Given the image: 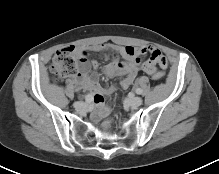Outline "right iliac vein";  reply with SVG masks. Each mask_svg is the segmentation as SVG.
<instances>
[{
    "instance_id": "63e3f726",
    "label": "right iliac vein",
    "mask_w": 219,
    "mask_h": 174,
    "mask_svg": "<svg viewBox=\"0 0 219 174\" xmlns=\"http://www.w3.org/2000/svg\"><path fill=\"white\" fill-rule=\"evenodd\" d=\"M85 106H86V105H85L84 102H75V103H74V107H75L76 109H79V110L85 108Z\"/></svg>"
}]
</instances>
